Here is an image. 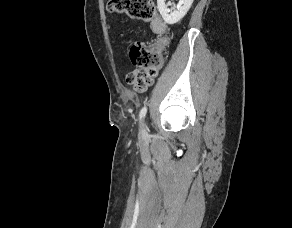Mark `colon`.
<instances>
[{
	"label": "colon",
	"instance_id": "obj_1",
	"mask_svg": "<svg viewBox=\"0 0 292 228\" xmlns=\"http://www.w3.org/2000/svg\"><path fill=\"white\" fill-rule=\"evenodd\" d=\"M107 10L114 14H125L135 20L153 21V30L164 32L162 21L154 20L156 9L152 0H109ZM167 42V38H162L152 42H136L131 47L130 58L137 69L128 74L126 81L135 91L143 93L158 74L164 63Z\"/></svg>",
	"mask_w": 292,
	"mask_h": 228
}]
</instances>
